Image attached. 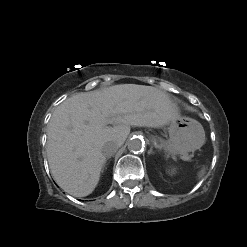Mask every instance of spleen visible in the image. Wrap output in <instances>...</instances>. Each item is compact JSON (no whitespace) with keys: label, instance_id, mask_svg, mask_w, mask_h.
I'll return each mask as SVG.
<instances>
[{"label":"spleen","instance_id":"3e777b00","mask_svg":"<svg viewBox=\"0 0 247 247\" xmlns=\"http://www.w3.org/2000/svg\"><path fill=\"white\" fill-rule=\"evenodd\" d=\"M205 171H206V169H205V167H203V168L199 171V173H198V178H202V177L204 176V174H205Z\"/></svg>","mask_w":247,"mask_h":247}]
</instances>
